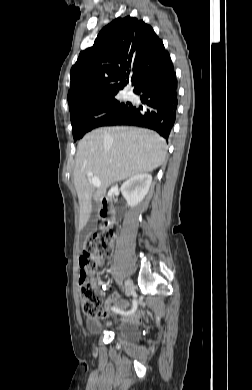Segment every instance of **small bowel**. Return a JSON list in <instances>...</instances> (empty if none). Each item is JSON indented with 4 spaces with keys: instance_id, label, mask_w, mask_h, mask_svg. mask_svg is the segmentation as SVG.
Segmentation results:
<instances>
[{
    "instance_id": "c3829d8e",
    "label": "small bowel",
    "mask_w": 252,
    "mask_h": 390,
    "mask_svg": "<svg viewBox=\"0 0 252 390\" xmlns=\"http://www.w3.org/2000/svg\"><path fill=\"white\" fill-rule=\"evenodd\" d=\"M98 263L101 265L103 264V258L98 259ZM116 304L118 309H121L122 311L129 308V303L126 301H123L120 299L119 294L114 292L112 293L108 299L105 302V308L107 313L105 314V317H108V310L112 304ZM129 312L128 316H123L124 320L130 321V322H137L141 318V312L137 311L134 316L130 315V310H127Z\"/></svg>"
}]
</instances>
